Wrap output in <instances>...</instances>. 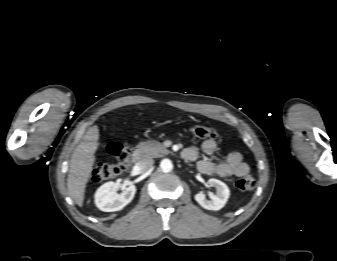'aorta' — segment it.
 I'll return each instance as SVG.
<instances>
[{"label":"aorta","instance_id":"762f6f07","mask_svg":"<svg viewBox=\"0 0 337 261\" xmlns=\"http://www.w3.org/2000/svg\"><path fill=\"white\" fill-rule=\"evenodd\" d=\"M163 172H170L173 169V164L169 159H163L160 163Z\"/></svg>","mask_w":337,"mask_h":261}]
</instances>
